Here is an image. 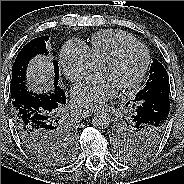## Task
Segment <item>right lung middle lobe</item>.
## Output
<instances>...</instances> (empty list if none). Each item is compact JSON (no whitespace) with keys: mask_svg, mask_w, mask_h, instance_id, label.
Here are the masks:
<instances>
[{"mask_svg":"<svg viewBox=\"0 0 184 184\" xmlns=\"http://www.w3.org/2000/svg\"><path fill=\"white\" fill-rule=\"evenodd\" d=\"M48 40L49 36L35 38L27 43L17 55L12 67L11 98L22 94H34L26 87V67L34 56L48 54L46 48V42ZM54 72V84L56 86L59 80L58 62L56 61H54ZM51 125L53 127V136L49 142L35 147L25 145L30 153L44 164L59 163L67 155L68 151L72 150L75 144L74 129L63 116L52 119Z\"/></svg>","mask_w":184,"mask_h":184,"instance_id":"right-lung-middle-lobe-1","label":"right lung middle lobe"}]
</instances>
